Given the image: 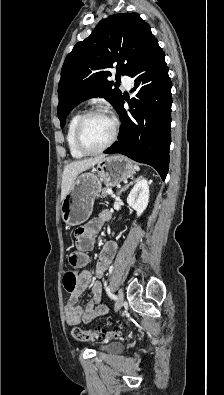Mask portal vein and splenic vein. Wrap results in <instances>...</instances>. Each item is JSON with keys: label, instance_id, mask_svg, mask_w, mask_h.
Here are the masks:
<instances>
[{"label": "portal vein and splenic vein", "instance_id": "1", "mask_svg": "<svg viewBox=\"0 0 224 395\" xmlns=\"http://www.w3.org/2000/svg\"><path fill=\"white\" fill-rule=\"evenodd\" d=\"M107 193H108L109 195H112V194H113L112 189H108V190H107Z\"/></svg>", "mask_w": 224, "mask_h": 395}]
</instances>
